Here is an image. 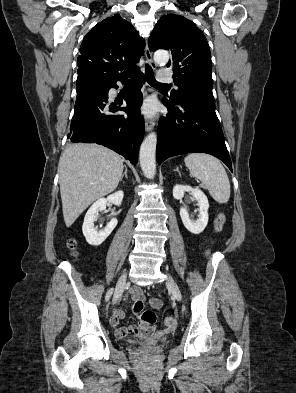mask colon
<instances>
[{
    "label": "colon",
    "mask_w": 296,
    "mask_h": 393,
    "mask_svg": "<svg viewBox=\"0 0 296 393\" xmlns=\"http://www.w3.org/2000/svg\"><path fill=\"white\" fill-rule=\"evenodd\" d=\"M224 221H225L224 215L220 214L215 221L216 231H220L222 229ZM70 245H73V241H70ZM133 310L141 321L145 322L148 325L155 324L156 322L155 312L146 309L141 299L135 300L133 305ZM164 323L167 328H173L176 326V321L173 318H166Z\"/></svg>",
    "instance_id": "5ec220e1"
}]
</instances>
